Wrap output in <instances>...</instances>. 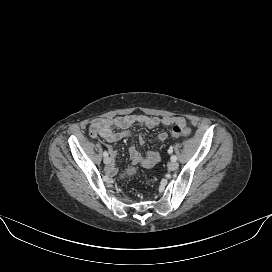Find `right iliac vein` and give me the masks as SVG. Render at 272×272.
Masks as SVG:
<instances>
[{"label": "right iliac vein", "instance_id": "obj_1", "mask_svg": "<svg viewBox=\"0 0 272 272\" xmlns=\"http://www.w3.org/2000/svg\"><path fill=\"white\" fill-rule=\"evenodd\" d=\"M104 163H105L106 165L110 164V158H109V157H105V158H104Z\"/></svg>", "mask_w": 272, "mask_h": 272}]
</instances>
